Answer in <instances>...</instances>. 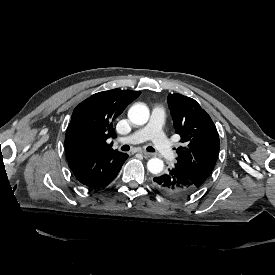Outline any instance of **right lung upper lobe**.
<instances>
[{"label": "right lung upper lobe", "instance_id": "obj_1", "mask_svg": "<svg viewBox=\"0 0 275 275\" xmlns=\"http://www.w3.org/2000/svg\"><path fill=\"white\" fill-rule=\"evenodd\" d=\"M140 95L139 91L112 89L92 95L73 111L65 136L66 157L109 152L114 136L113 121L126 106Z\"/></svg>", "mask_w": 275, "mask_h": 275}]
</instances>
